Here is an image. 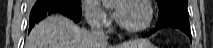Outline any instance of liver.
Segmentation results:
<instances>
[{"mask_svg":"<svg viewBox=\"0 0 213 48\" xmlns=\"http://www.w3.org/2000/svg\"><path fill=\"white\" fill-rule=\"evenodd\" d=\"M147 44L145 40H135L120 48H135ZM25 48H107L97 45L91 34L70 19L61 15L50 16L38 23L26 38Z\"/></svg>","mask_w":213,"mask_h":48,"instance_id":"6515ba94","label":"liver"}]
</instances>
